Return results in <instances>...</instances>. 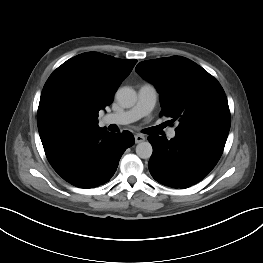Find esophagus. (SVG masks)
<instances>
[{"label":"esophagus","mask_w":263,"mask_h":263,"mask_svg":"<svg viewBox=\"0 0 263 263\" xmlns=\"http://www.w3.org/2000/svg\"><path fill=\"white\" fill-rule=\"evenodd\" d=\"M144 140H145V137H144L143 135H141V134L135 135V142H136V143H141V142H143Z\"/></svg>","instance_id":"obj_1"}]
</instances>
